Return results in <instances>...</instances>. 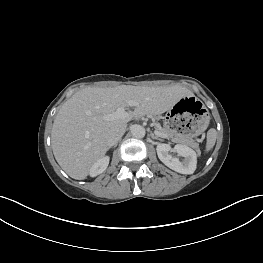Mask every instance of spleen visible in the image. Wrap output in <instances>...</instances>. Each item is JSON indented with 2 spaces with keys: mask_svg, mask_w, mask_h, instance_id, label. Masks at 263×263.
Listing matches in <instances>:
<instances>
[{
  "mask_svg": "<svg viewBox=\"0 0 263 263\" xmlns=\"http://www.w3.org/2000/svg\"><path fill=\"white\" fill-rule=\"evenodd\" d=\"M216 142V130L210 129L207 133L206 152L210 151Z\"/></svg>",
  "mask_w": 263,
  "mask_h": 263,
  "instance_id": "spleen-1",
  "label": "spleen"
}]
</instances>
